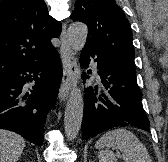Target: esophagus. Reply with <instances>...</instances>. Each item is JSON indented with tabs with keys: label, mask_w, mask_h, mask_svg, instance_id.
<instances>
[{
	"label": "esophagus",
	"mask_w": 168,
	"mask_h": 162,
	"mask_svg": "<svg viewBox=\"0 0 168 162\" xmlns=\"http://www.w3.org/2000/svg\"><path fill=\"white\" fill-rule=\"evenodd\" d=\"M60 39H61L60 51L63 64V76L59 89V100L60 102H64L67 99L71 88L76 82L78 66L75 54L72 51L71 46L68 42L66 24L63 25Z\"/></svg>",
	"instance_id": "34e87169"
}]
</instances>
